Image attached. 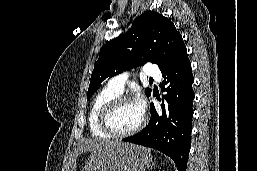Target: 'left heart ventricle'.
<instances>
[{
    "label": "left heart ventricle",
    "instance_id": "b2bd125f",
    "mask_svg": "<svg viewBox=\"0 0 257 171\" xmlns=\"http://www.w3.org/2000/svg\"><path fill=\"white\" fill-rule=\"evenodd\" d=\"M142 113L134 102L119 105L111 114L110 124L115 131L124 132L133 129L139 124Z\"/></svg>",
    "mask_w": 257,
    "mask_h": 171
}]
</instances>
